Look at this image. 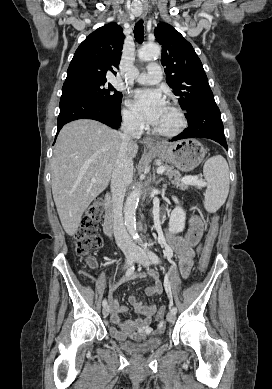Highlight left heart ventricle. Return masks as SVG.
I'll list each match as a JSON object with an SVG mask.
<instances>
[{
	"label": "left heart ventricle",
	"instance_id": "left-heart-ventricle-1",
	"mask_svg": "<svg viewBox=\"0 0 272 389\" xmlns=\"http://www.w3.org/2000/svg\"><path fill=\"white\" fill-rule=\"evenodd\" d=\"M176 122L177 116L175 112L168 106H165L158 122L155 124V127L160 129H170L176 125Z\"/></svg>",
	"mask_w": 272,
	"mask_h": 389
}]
</instances>
